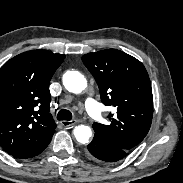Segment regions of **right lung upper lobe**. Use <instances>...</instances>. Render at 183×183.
I'll use <instances>...</instances> for the list:
<instances>
[{"instance_id": "obj_1", "label": "right lung upper lobe", "mask_w": 183, "mask_h": 183, "mask_svg": "<svg viewBox=\"0 0 183 183\" xmlns=\"http://www.w3.org/2000/svg\"><path fill=\"white\" fill-rule=\"evenodd\" d=\"M64 58L32 50L0 69V145L15 158L40 154L52 139L56 124L49 113V82Z\"/></svg>"}]
</instances>
